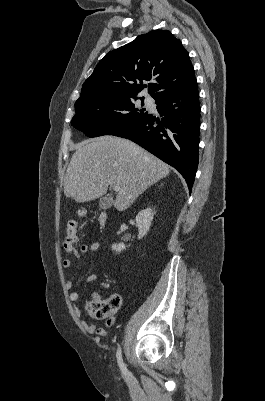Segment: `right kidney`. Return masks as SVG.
<instances>
[{
	"label": "right kidney",
	"instance_id": "right-kidney-1",
	"mask_svg": "<svg viewBox=\"0 0 265 401\" xmlns=\"http://www.w3.org/2000/svg\"><path fill=\"white\" fill-rule=\"evenodd\" d=\"M154 217L153 209H144V211H140L136 217V227H138V239H142V237H145L147 235L151 225H152V219ZM112 251H117V253H121V251H124L126 249L124 243H115V245H112L111 247Z\"/></svg>",
	"mask_w": 265,
	"mask_h": 401
}]
</instances>
